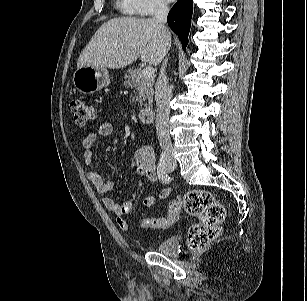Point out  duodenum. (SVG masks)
Instances as JSON below:
<instances>
[{
  "instance_id": "duodenum-1",
  "label": "duodenum",
  "mask_w": 307,
  "mask_h": 301,
  "mask_svg": "<svg viewBox=\"0 0 307 301\" xmlns=\"http://www.w3.org/2000/svg\"><path fill=\"white\" fill-rule=\"evenodd\" d=\"M154 115L155 112L153 107H144L139 111V121L142 124H150L153 122Z\"/></svg>"
}]
</instances>
